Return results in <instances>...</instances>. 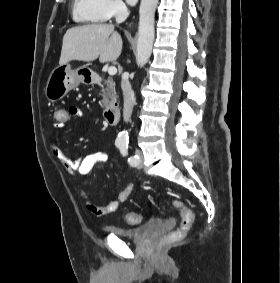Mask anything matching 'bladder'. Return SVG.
I'll list each match as a JSON object with an SVG mask.
<instances>
[{"label":"bladder","instance_id":"obj_1","mask_svg":"<svg viewBox=\"0 0 280 283\" xmlns=\"http://www.w3.org/2000/svg\"><path fill=\"white\" fill-rule=\"evenodd\" d=\"M164 224V220L161 218H152L146 221L144 224L138 226H120V225H108L104 227V232L107 234L115 235L124 239L132 240L134 242L143 241L151 234L158 231Z\"/></svg>","mask_w":280,"mask_h":283}]
</instances>
